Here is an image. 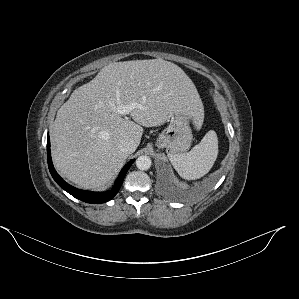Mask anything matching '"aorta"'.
I'll return each instance as SVG.
<instances>
[{"label": "aorta", "instance_id": "obj_1", "mask_svg": "<svg viewBox=\"0 0 299 299\" xmlns=\"http://www.w3.org/2000/svg\"><path fill=\"white\" fill-rule=\"evenodd\" d=\"M136 166L139 170H148L151 167V159L146 155H141L136 159Z\"/></svg>", "mask_w": 299, "mask_h": 299}]
</instances>
